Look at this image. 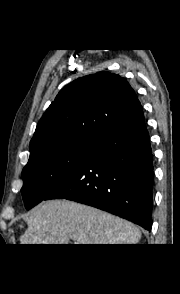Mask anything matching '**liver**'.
Masks as SVG:
<instances>
[{
    "label": "liver",
    "instance_id": "1",
    "mask_svg": "<svg viewBox=\"0 0 180 294\" xmlns=\"http://www.w3.org/2000/svg\"><path fill=\"white\" fill-rule=\"evenodd\" d=\"M20 244H136L140 229L105 211L68 200H51L33 209Z\"/></svg>",
    "mask_w": 180,
    "mask_h": 294
}]
</instances>
